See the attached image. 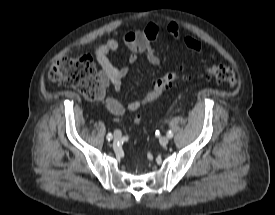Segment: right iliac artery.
Masks as SVG:
<instances>
[{
    "mask_svg": "<svg viewBox=\"0 0 275 215\" xmlns=\"http://www.w3.org/2000/svg\"><path fill=\"white\" fill-rule=\"evenodd\" d=\"M112 138H113L112 134L109 133V134L107 135V139H108V140H111Z\"/></svg>",
    "mask_w": 275,
    "mask_h": 215,
    "instance_id": "obj_1",
    "label": "right iliac artery"
}]
</instances>
